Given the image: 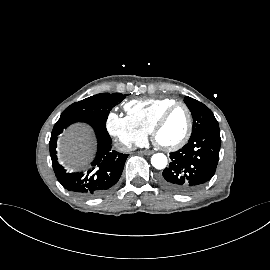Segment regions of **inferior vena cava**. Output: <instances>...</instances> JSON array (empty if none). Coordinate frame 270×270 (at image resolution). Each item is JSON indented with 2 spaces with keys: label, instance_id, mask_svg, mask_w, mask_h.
<instances>
[{
  "label": "inferior vena cava",
  "instance_id": "obj_1",
  "mask_svg": "<svg viewBox=\"0 0 270 270\" xmlns=\"http://www.w3.org/2000/svg\"><path fill=\"white\" fill-rule=\"evenodd\" d=\"M114 146H115L116 150H118L119 152H122V153H128L134 149L131 144H124L120 141H116Z\"/></svg>",
  "mask_w": 270,
  "mask_h": 270
}]
</instances>
